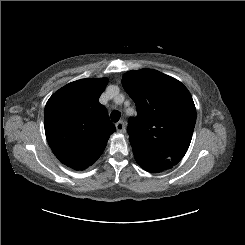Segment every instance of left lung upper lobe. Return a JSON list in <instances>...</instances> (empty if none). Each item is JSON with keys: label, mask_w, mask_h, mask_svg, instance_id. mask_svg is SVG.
<instances>
[{"label": "left lung upper lobe", "mask_w": 245, "mask_h": 245, "mask_svg": "<svg viewBox=\"0 0 245 245\" xmlns=\"http://www.w3.org/2000/svg\"><path fill=\"white\" fill-rule=\"evenodd\" d=\"M122 84L137 108L127 127L136 162L153 173L172 168L186 154L193 135L196 109L190 92L153 69L128 71Z\"/></svg>", "instance_id": "5c2ea615"}]
</instances>
